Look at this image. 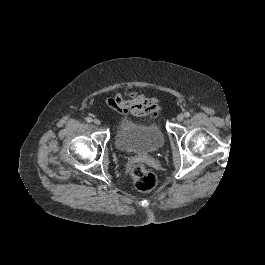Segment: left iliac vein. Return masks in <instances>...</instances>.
I'll list each match as a JSON object with an SVG mask.
<instances>
[{
  "label": "left iliac vein",
  "mask_w": 265,
  "mask_h": 265,
  "mask_svg": "<svg viewBox=\"0 0 265 265\" xmlns=\"http://www.w3.org/2000/svg\"><path fill=\"white\" fill-rule=\"evenodd\" d=\"M183 119H184V115L182 113L178 114L177 121H182Z\"/></svg>",
  "instance_id": "4c4485c4"
}]
</instances>
